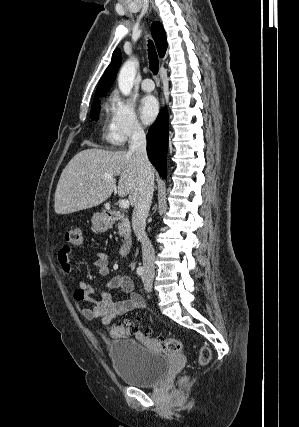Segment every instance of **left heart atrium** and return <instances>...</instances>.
Masks as SVG:
<instances>
[{
	"instance_id": "obj_1",
	"label": "left heart atrium",
	"mask_w": 299,
	"mask_h": 427,
	"mask_svg": "<svg viewBox=\"0 0 299 427\" xmlns=\"http://www.w3.org/2000/svg\"><path fill=\"white\" fill-rule=\"evenodd\" d=\"M139 114L144 124H150L158 114L159 105L157 99L152 95H147L140 100Z\"/></svg>"
}]
</instances>
